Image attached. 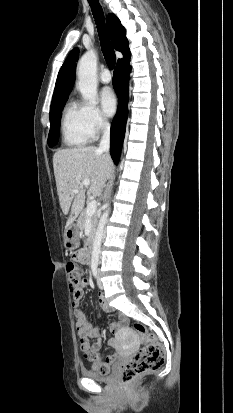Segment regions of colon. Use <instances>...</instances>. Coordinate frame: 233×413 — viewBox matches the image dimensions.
Returning a JSON list of instances; mask_svg holds the SVG:
<instances>
[{"label":"colon","instance_id":"obj_1","mask_svg":"<svg viewBox=\"0 0 233 413\" xmlns=\"http://www.w3.org/2000/svg\"><path fill=\"white\" fill-rule=\"evenodd\" d=\"M68 280L71 291H75L83 282V273L80 266H75L74 261L67 265ZM135 332L142 337L144 346L133 356L123 368L120 379L123 383H129L138 376L158 369L164 362V348L157 341L154 334L148 332L142 324L134 325ZM98 371L107 373L108 366H101Z\"/></svg>","mask_w":233,"mask_h":413}]
</instances>
